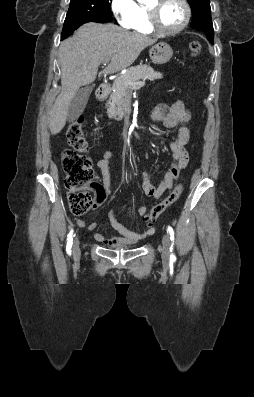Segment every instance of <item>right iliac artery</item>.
<instances>
[{
	"mask_svg": "<svg viewBox=\"0 0 254 397\" xmlns=\"http://www.w3.org/2000/svg\"><path fill=\"white\" fill-rule=\"evenodd\" d=\"M72 241H73V230H71V232L68 234V238H67L66 250L69 255H71Z\"/></svg>",
	"mask_w": 254,
	"mask_h": 397,
	"instance_id": "1",
	"label": "right iliac artery"
}]
</instances>
